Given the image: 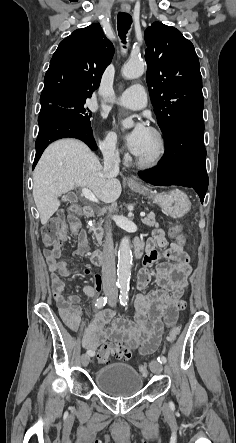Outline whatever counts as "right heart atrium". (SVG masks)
Segmentation results:
<instances>
[{
  "instance_id": "d8ad5b80",
  "label": "right heart atrium",
  "mask_w": 236,
  "mask_h": 443,
  "mask_svg": "<svg viewBox=\"0 0 236 443\" xmlns=\"http://www.w3.org/2000/svg\"><path fill=\"white\" fill-rule=\"evenodd\" d=\"M99 145L107 157L114 158L117 157L119 154V146L117 138L112 133H107L104 136H102L99 140Z\"/></svg>"
}]
</instances>
